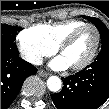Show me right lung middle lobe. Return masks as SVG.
Returning a JSON list of instances; mask_svg holds the SVG:
<instances>
[{"label": "right lung middle lobe", "instance_id": "right-lung-middle-lobe-1", "mask_svg": "<svg viewBox=\"0 0 109 109\" xmlns=\"http://www.w3.org/2000/svg\"><path fill=\"white\" fill-rule=\"evenodd\" d=\"M21 30L20 27L1 24V42L16 47L15 36L17 31Z\"/></svg>", "mask_w": 109, "mask_h": 109}]
</instances>
